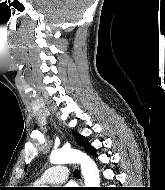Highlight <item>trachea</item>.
<instances>
[{
    "mask_svg": "<svg viewBox=\"0 0 165 190\" xmlns=\"http://www.w3.org/2000/svg\"><path fill=\"white\" fill-rule=\"evenodd\" d=\"M74 176L76 178H80V171L79 170H74Z\"/></svg>",
    "mask_w": 165,
    "mask_h": 190,
    "instance_id": "obj_1",
    "label": "trachea"
}]
</instances>
